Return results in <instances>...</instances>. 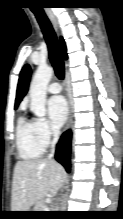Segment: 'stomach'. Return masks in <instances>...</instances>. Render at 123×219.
I'll use <instances>...</instances> for the list:
<instances>
[{
	"label": "stomach",
	"mask_w": 123,
	"mask_h": 219,
	"mask_svg": "<svg viewBox=\"0 0 123 219\" xmlns=\"http://www.w3.org/2000/svg\"><path fill=\"white\" fill-rule=\"evenodd\" d=\"M28 211H34V210H28ZM25 215H27V216H30L31 214H30V213H28V214H25Z\"/></svg>",
	"instance_id": "obj_1"
}]
</instances>
